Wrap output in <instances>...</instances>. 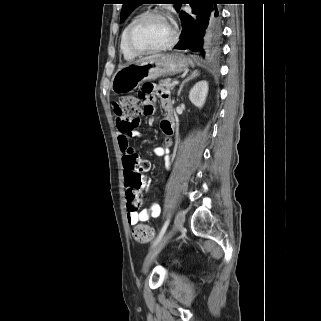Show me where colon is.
<instances>
[{
    "instance_id": "5ec220e1",
    "label": "colon",
    "mask_w": 321,
    "mask_h": 321,
    "mask_svg": "<svg viewBox=\"0 0 321 321\" xmlns=\"http://www.w3.org/2000/svg\"><path fill=\"white\" fill-rule=\"evenodd\" d=\"M116 113L125 120L138 121V117L148 115L153 107L145 97L135 96L122 97L116 104ZM150 165L147 160L139 156L131 157L125 164V186L127 196V206L129 210H137L142 202V193L145 187L144 173L148 171ZM154 229L151 226L139 224L132 230L134 239L140 243H148L154 237Z\"/></svg>"
}]
</instances>
